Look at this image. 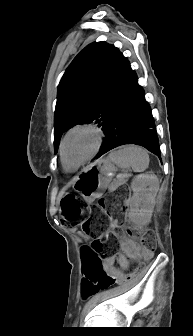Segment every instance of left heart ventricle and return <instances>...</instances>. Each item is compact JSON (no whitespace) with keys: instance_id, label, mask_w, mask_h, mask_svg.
<instances>
[{"instance_id":"b2bd125f","label":"left heart ventricle","mask_w":193,"mask_h":336,"mask_svg":"<svg viewBox=\"0 0 193 336\" xmlns=\"http://www.w3.org/2000/svg\"><path fill=\"white\" fill-rule=\"evenodd\" d=\"M95 135L87 130L72 133L64 146V154L70 165H76L84 160L94 149Z\"/></svg>"}]
</instances>
